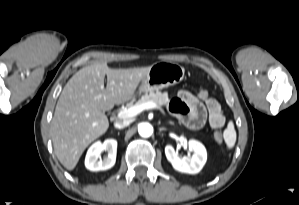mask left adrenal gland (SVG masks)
<instances>
[{
    "label": "left adrenal gland",
    "instance_id": "obj_1",
    "mask_svg": "<svg viewBox=\"0 0 299 205\" xmlns=\"http://www.w3.org/2000/svg\"><path fill=\"white\" fill-rule=\"evenodd\" d=\"M169 124H170V125H174V123H173V122H171V121L169 122Z\"/></svg>",
    "mask_w": 299,
    "mask_h": 205
}]
</instances>
